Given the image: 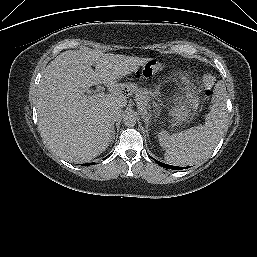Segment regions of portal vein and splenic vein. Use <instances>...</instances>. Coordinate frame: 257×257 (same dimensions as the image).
I'll return each mask as SVG.
<instances>
[{
    "instance_id": "1",
    "label": "portal vein and splenic vein",
    "mask_w": 257,
    "mask_h": 257,
    "mask_svg": "<svg viewBox=\"0 0 257 257\" xmlns=\"http://www.w3.org/2000/svg\"><path fill=\"white\" fill-rule=\"evenodd\" d=\"M103 97H104L103 93H97V94H93L91 96H86V98L89 99V100H97V99H100V98H103ZM140 110L144 111V113H146L145 109L140 108Z\"/></svg>"
}]
</instances>
